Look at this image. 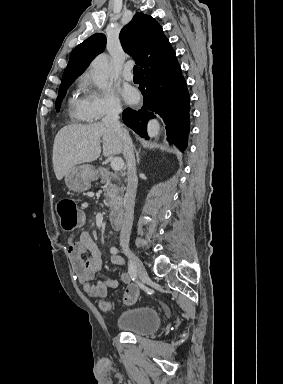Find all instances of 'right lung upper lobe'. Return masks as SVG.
Returning <instances> with one entry per match:
<instances>
[{
  "instance_id": "right-lung-upper-lobe-1",
  "label": "right lung upper lobe",
  "mask_w": 283,
  "mask_h": 384,
  "mask_svg": "<svg viewBox=\"0 0 283 384\" xmlns=\"http://www.w3.org/2000/svg\"><path fill=\"white\" fill-rule=\"evenodd\" d=\"M125 52L140 65L141 77L166 70L177 62L175 51L164 36L162 27L149 15L138 12L119 35ZM106 36L96 33L74 48L64 71L62 83L74 82L89 66L92 59L103 52Z\"/></svg>"
}]
</instances>
